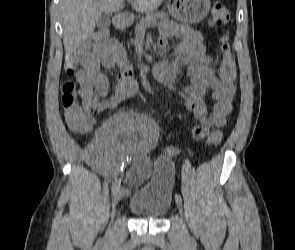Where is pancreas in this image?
Listing matches in <instances>:
<instances>
[{"label":"pancreas","mask_w":295,"mask_h":250,"mask_svg":"<svg viewBox=\"0 0 295 250\" xmlns=\"http://www.w3.org/2000/svg\"><path fill=\"white\" fill-rule=\"evenodd\" d=\"M158 20L173 24V22L169 20V15L166 12H152L147 14L145 17H142L139 22L136 23L135 34H138L140 31H144L151 23L157 24Z\"/></svg>","instance_id":"obj_1"}]
</instances>
